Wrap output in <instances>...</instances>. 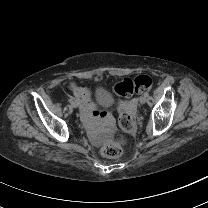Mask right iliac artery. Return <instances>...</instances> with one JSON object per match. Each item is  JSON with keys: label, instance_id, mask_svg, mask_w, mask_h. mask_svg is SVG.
I'll list each match as a JSON object with an SVG mask.
<instances>
[{"label": "right iliac artery", "instance_id": "82829eb1", "mask_svg": "<svg viewBox=\"0 0 208 208\" xmlns=\"http://www.w3.org/2000/svg\"><path fill=\"white\" fill-rule=\"evenodd\" d=\"M68 101H69V103H73L74 102L72 98H70Z\"/></svg>", "mask_w": 208, "mask_h": 208}]
</instances>
